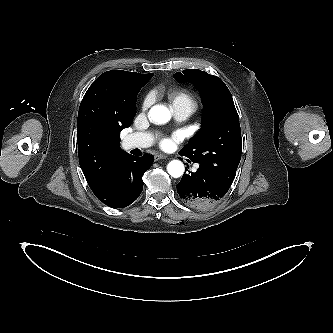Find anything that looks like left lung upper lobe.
I'll list each match as a JSON object with an SVG mask.
<instances>
[{
  "mask_svg": "<svg viewBox=\"0 0 333 333\" xmlns=\"http://www.w3.org/2000/svg\"><path fill=\"white\" fill-rule=\"evenodd\" d=\"M174 74L179 81L193 83L204 105L203 126L182 148L180 155L210 172L219 181L231 186L242 153L239 117L232 95L217 76L197 69Z\"/></svg>",
  "mask_w": 333,
  "mask_h": 333,
  "instance_id": "1",
  "label": "left lung upper lobe"
}]
</instances>
